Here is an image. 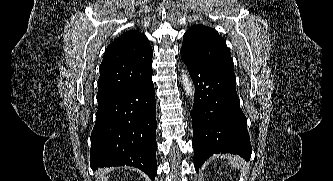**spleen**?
I'll return each instance as SVG.
<instances>
[{"mask_svg":"<svg viewBox=\"0 0 333 181\" xmlns=\"http://www.w3.org/2000/svg\"><path fill=\"white\" fill-rule=\"evenodd\" d=\"M241 160L238 157H234L233 159L229 160V163L231 166L235 169H240L241 168Z\"/></svg>","mask_w":333,"mask_h":181,"instance_id":"spleen-1","label":"spleen"}]
</instances>
